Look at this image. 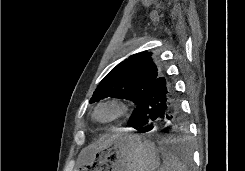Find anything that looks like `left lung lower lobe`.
<instances>
[{
	"mask_svg": "<svg viewBox=\"0 0 245 171\" xmlns=\"http://www.w3.org/2000/svg\"><path fill=\"white\" fill-rule=\"evenodd\" d=\"M182 123V112L173 86L160 75L142 91L127 125L144 133L153 125L182 126Z\"/></svg>",
	"mask_w": 245,
	"mask_h": 171,
	"instance_id": "obj_1",
	"label": "left lung lower lobe"
}]
</instances>
